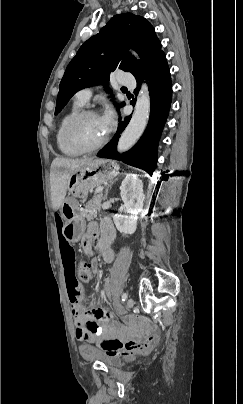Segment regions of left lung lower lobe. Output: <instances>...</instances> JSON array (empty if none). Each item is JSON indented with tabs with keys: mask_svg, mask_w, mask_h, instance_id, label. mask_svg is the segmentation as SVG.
Masks as SVG:
<instances>
[{
	"mask_svg": "<svg viewBox=\"0 0 243 404\" xmlns=\"http://www.w3.org/2000/svg\"><path fill=\"white\" fill-rule=\"evenodd\" d=\"M143 79L148 81L151 103L150 119L144 134L132 149L119 154L116 151L117 142L131 116L125 117L124 121L119 123L114 138L98 152L97 156L121 160L152 174L157 162L158 140L166 122L172 99L171 76L164 53L156 58L144 74L136 78V94Z\"/></svg>",
	"mask_w": 243,
	"mask_h": 404,
	"instance_id": "1",
	"label": "left lung lower lobe"
}]
</instances>
